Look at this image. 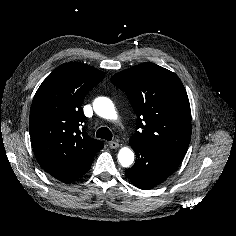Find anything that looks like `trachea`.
Instances as JSON below:
<instances>
[{"label":"trachea","instance_id":"trachea-1","mask_svg":"<svg viewBox=\"0 0 236 236\" xmlns=\"http://www.w3.org/2000/svg\"><path fill=\"white\" fill-rule=\"evenodd\" d=\"M96 137L105 139L107 141L112 140V132L107 127H101L96 132Z\"/></svg>","mask_w":236,"mask_h":236}]
</instances>
